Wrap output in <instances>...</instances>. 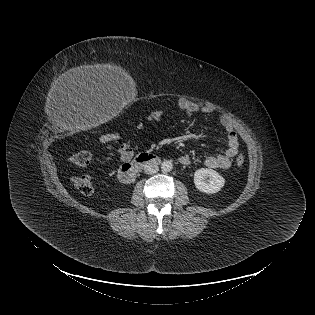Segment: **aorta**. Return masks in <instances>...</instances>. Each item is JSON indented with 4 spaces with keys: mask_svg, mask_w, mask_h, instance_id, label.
I'll use <instances>...</instances> for the list:
<instances>
[{
    "mask_svg": "<svg viewBox=\"0 0 315 315\" xmlns=\"http://www.w3.org/2000/svg\"><path fill=\"white\" fill-rule=\"evenodd\" d=\"M173 169L172 162L169 160H165L161 163V170L163 172H170Z\"/></svg>",
    "mask_w": 315,
    "mask_h": 315,
    "instance_id": "obj_1",
    "label": "aorta"
}]
</instances>
